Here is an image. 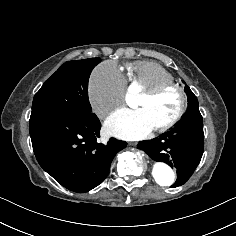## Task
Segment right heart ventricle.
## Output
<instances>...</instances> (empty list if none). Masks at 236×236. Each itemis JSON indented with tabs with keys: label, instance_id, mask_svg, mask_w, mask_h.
<instances>
[{
	"label": "right heart ventricle",
	"instance_id": "1",
	"mask_svg": "<svg viewBox=\"0 0 236 236\" xmlns=\"http://www.w3.org/2000/svg\"><path fill=\"white\" fill-rule=\"evenodd\" d=\"M127 79L132 87L140 92L149 90L159 84L173 82V75L161 64L149 61H136L125 65Z\"/></svg>",
	"mask_w": 236,
	"mask_h": 236
}]
</instances>
